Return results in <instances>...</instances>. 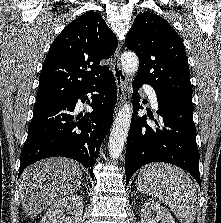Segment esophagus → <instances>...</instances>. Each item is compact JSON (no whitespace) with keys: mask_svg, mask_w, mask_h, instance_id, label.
<instances>
[{"mask_svg":"<svg viewBox=\"0 0 221 223\" xmlns=\"http://www.w3.org/2000/svg\"><path fill=\"white\" fill-rule=\"evenodd\" d=\"M112 71L115 77L117 87V102L115 112H117L123 105L126 99V85L127 77L121 69L120 65V46L117 47L113 55Z\"/></svg>","mask_w":221,"mask_h":223,"instance_id":"obj_1","label":"esophagus"}]
</instances>
